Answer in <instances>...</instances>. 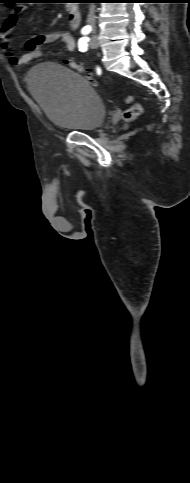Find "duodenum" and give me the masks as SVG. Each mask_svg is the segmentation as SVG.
I'll use <instances>...</instances> for the list:
<instances>
[{
	"label": "duodenum",
	"instance_id": "duodenum-1",
	"mask_svg": "<svg viewBox=\"0 0 190 483\" xmlns=\"http://www.w3.org/2000/svg\"><path fill=\"white\" fill-rule=\"evenodd\" d=\"M80 12L78 10V8L76 7H72L69 9L68 11V20H69V24L72 28H77L79 26V23H80Z\"/></svg>",
	"mask_w": 190,
	"mask_h": 483
}]
</instances>
